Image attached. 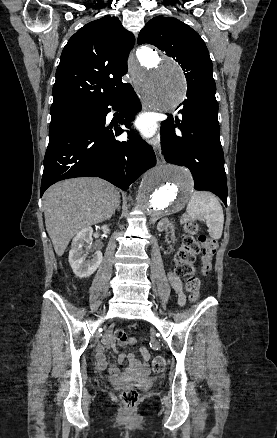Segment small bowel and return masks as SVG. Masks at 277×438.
<instances>
[{
    "label": "small bowel",
    "mask_w": 277,
    "mask_h": 438,
    "mask_svg": "<svg viewBox=\"0 0 277 438\" xmlns=\"http://www.w3.org/2000/svg\"><path fill=\"white\" fill-rule=\"evenodd\" d=\"M169 281H170L171 286L173 287V289H174V291H175V293H176V295L178 297L179 304L182 305L184 303L185 297H184V291H183V283H182L181 279L178 276H176L174 273H170L169 274ZM105 331H106L105 332V335H106L105 341H106V343H108V344H112L113 343V348L114 349H120L122 347V344L120 342H114L115 341V338H114L115 332H114V330H112V328L110 326H107L105 328ZM103 351H104V347L102 345H98L97 346V360H98V367L99 368H101V367H103L105 365V362H104V352ZM141 353H142V356H143V359H144L143 363H138L136 361V359L134 358V356H132V355L129 357V361H130L131 367L133 369H136L137 371H140L141 373H145L146 370H147L146 363L149 360L150 355H149V352L147 351V349H145V348H143L141 350ZM118 359L120 361H123L124 360V356L122 354H120L118 356ZM109 374H110V376H111V378L113 380H119L120 379L119 373H118V369L115 368V367L110 368Z\"/></svg>",
    "instance_id": "small-bowel-1"
}]
</instances>
